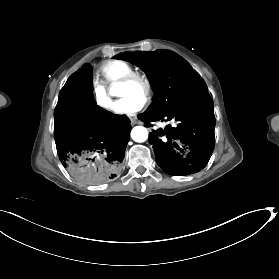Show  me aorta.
Returning a JSON list of instances; mask_svg holds the SVG:
<instances>
[{"instance_id": "762f6f07", "label": "aorta", "mask_w": 279, "mask_h": 279, "mask_svg": "<svg viewBox=\"0 0 279 279\" xmlns=\"http://www.w3.org/2000/svg\"><path fill=\"white\" fill-rule=\"evenodd\" d=\"M120 91H121V86L120 84H115L114 86L111 87L110 89V95L115 96V95H120ZM131 138L135 141V142H145L148 138V131L145 127L143 126H135L132 130H131Z\"/></svg>"}]
</instances>
